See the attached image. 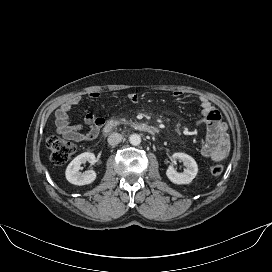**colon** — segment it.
<instances>
[{
    "instance_id": "colon-1",
    "label": "colon",
    "mask_w": 272,
    "mask_h": 272,
    "mask_svg": "<svg viewBox=\"0 0 272 272\" xmlns=\"http://www.w3.org/2000/svg\"><path fill=\"white\" fill-rule=\"evenodd\" d=\"M47 146L51 151V160L56 165L65 164L75 151L72 143L57 135H52L47 139ZM210 172L213 176H219L223 172V166L219 164L213 165L210 168Z\"/></svg>"
}]
</instances>
